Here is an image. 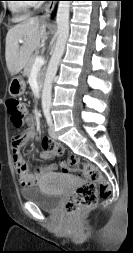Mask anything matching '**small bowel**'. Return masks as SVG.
<instances>
[{
  "label": "small bowel",
  "instance_id": "c3829d8e",
  "mask_svg": "<svg viewBox=\"0 0 133 253\" xmlns=\"http://www.w3.org/2000/svg\"><path fill=\"white\" fill-rule=\"evenodd\" d=\"M36 137V132L29 120V127L12 141L13 163L19 184L23 187L34 186L41 181L42 176L49 171H53L56 167L52 164L46 167H39L33 173L28 172V162L23 158L20 149L25 144L33 141ZM50 152L44 149L41 157L48 161L50 159Z\"/></svg>",
  "mask_w": 133,
  "mask_h": 253
}]
</instances>
